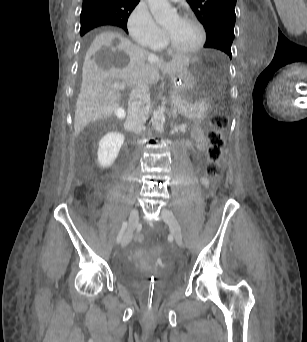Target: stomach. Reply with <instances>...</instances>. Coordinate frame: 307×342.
<instances>
[{
    "instance_id": "1",
    "label": "stomach",
    "mask_w": 307,
    "mask_h": 342,
    "mask_svg": "<svg viewBox=\"0 0 307 342\" xmlns=\"http://www.w3.org/2000/svg\"><path fill=\"white\" fill-rule=\"evenodd\" d=\"M198 68L199 62L193 60L190 66H186L182 70L170 75L173 92L187 101H192L196 98L195 86Z\"/></svg>"
}]
</instances>
